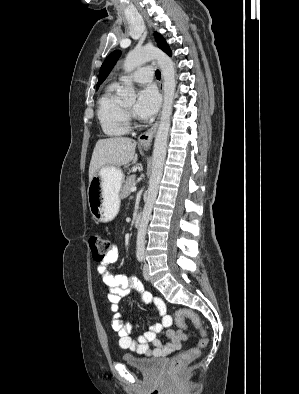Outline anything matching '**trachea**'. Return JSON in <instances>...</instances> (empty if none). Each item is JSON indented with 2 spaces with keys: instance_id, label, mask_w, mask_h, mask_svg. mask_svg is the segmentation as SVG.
Instances as JSON below:
<instances>
[{
  "instance_id": "obj_1",
  "label": "trachea",
  "mask_w": 299,
  "mask_h": 394,
  "mask_svg": "<svg viewBox=\"0 0 299 394\" xmlns=\"http://www.w3.org/2000/svg\"><path fill=\"white\" fill-rule=\"evenodd\" d=\"M155 75H156V77H157L158 79H160V77H161V73H160V71H159V70H156V73H155Z\"/></svg>"
}]
</instances>
